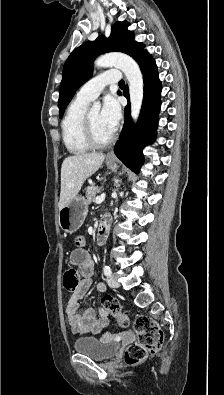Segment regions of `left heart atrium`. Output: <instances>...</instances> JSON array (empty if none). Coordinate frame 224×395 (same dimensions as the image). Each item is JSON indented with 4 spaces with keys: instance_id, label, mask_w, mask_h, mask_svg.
<instances>
[{
    "instance_id": "1",
    "label": "left heart atrium",
    "mask_w": 224,
    "mask_h": 395,
    "mask_svg": "<svg viewBox=\"0 0 224 395\" xmlns=\"http://www.w3.org/2000/svg\"><path fill=\"white\" fill-rule=\"evenodd\" d=\"M100 116L105 126L114 133L121 119V107L114 96L110 95L104 98Z\"/></svg>"
}]
</instances>
